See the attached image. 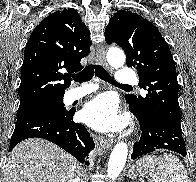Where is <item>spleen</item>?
Returning <instances> with one entry per match:
<instances>
[{"mask_svg":"<svg viewBox=\"0 0 196 182\" xmlns=\"http://www.w3.org/2000/svg\"><path fill=\"white\" fill-rule=\"evenodd\" d=\"M154 163L158 165L150 182H189L187 170L183 163L174 155L164 153L158 157L145 155L137 161V168L144 169V173L154 171Z\"/></svg>","mask_w":196,"mask_h":182,"instance_id":"spleen-1","label":"spleen"}]
</instances>
